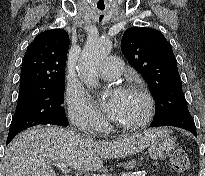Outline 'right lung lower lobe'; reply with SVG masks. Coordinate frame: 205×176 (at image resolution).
Returning <instances> with one entry per match:
<instances>
[{
	"mask_svg": "<svg viewBox=\"0 0 205 176\" xmlns=\"http://www.w3.org/2000/svg\"><path fill=\"white\" fill-rule=\"evenodd\" d=\"M12 140V139H11ZM10 141H7L6 144H8Z\"/></svg>",
	"mask_w": 205,
	"mask_h": 176,
	"instance_id": "obj_1",
	"label": "right lung lower lobe"
}]
</instances>
